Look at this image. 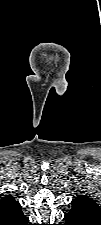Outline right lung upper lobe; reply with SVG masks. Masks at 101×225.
<instances>
[{
  "label": "right lung upper lobe",
  "instance_id": "obj_1",
  "mask_svg": "<svg viewBox=\"0 0 101 225\" xmlns=\"http://www.w3.org/2000/svg\"><path fill=\"white\" fill-rule=\"evenodd\" d=\"M26 216L21 210L19 202L11 195H6L0 200V225H20Z\"/></svg>",
  "mask_w": 101,
  "mask_h": 225
}]
</instances>
